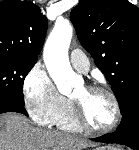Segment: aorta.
Listing matches in <instances>:
<instances>
[{
  "instance_id": "1",
  "label": "aorta",
  "mask_w": 139,
  "mask_h": 150,
  "mask_svg": "<svg viewBox=\"0 0 139 150\" xmlns=\"http://www.w3.org/2000/svg\"><path fill=\"white\" fill-rule=\"evenodd\" d=\"M73 28L68 21L57 20L44 47V62L58 91L69 95L77 83L68 58Z\"/></svg>"
}]
</instances>
